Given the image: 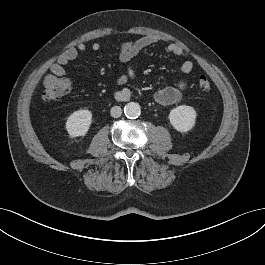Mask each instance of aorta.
Instances as JSON below:
<instances>
[{
	"instance_id": "762f6f07",
	"label": "aorta",
	"mask_w": 265,
	"mask_h": 265,
	"mask_svg": "<svg viewBox=\"0 0 265 265\" xmlns=\"http://www.w3.org/2000/svg\"><path fill=\"white\" fill-rule=\"evenodd\" d=\"M124 113L128 118H137L141 113V107L136 102H129L124 107Z\"/></svg>"
}]
</instances>
